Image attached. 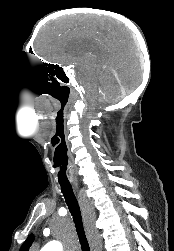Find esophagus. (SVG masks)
I'll return each instance as SVG.
<instances>
[{"instance_id":"34e87169","label":"esophagus","mask_w":174,"mask_h":251,"mask_svg":"<svg viewBox=\"0 0 174 251\" xmlns=\"http://www.w3.org/2000/svg\"><path fill=\"white\" fill-rule=\"evenodd\" d=\"M74 187L75 189L77 190L78 189V185L77 184H74ZM81 196V194H79Z\"/></svg>"}]
</instances>
